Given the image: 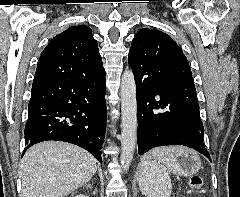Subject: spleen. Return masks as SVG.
Instances as JSON below:
<instances>
[{
    "instance_id": "obj_1",
    "label": "spleen",
    "mask_w": 240,
    "mask_h": 197,
    "mask_svg": "<svg viewBox=\"0 0 240 197\" xmlns=\"http://www.w3.org/2000/svg\"><path fill=\"white\" fill-rule=\"evenodd\" d=\"M184 147H159L151 151V159L144 162L140 169L141 190L147 197H169L172 191L167 166L175 155L194 154Z\"/></svg>"
}]
</instances>
